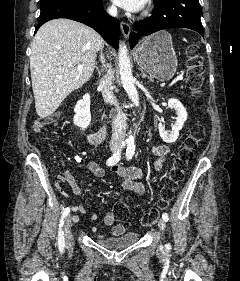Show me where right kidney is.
I'll return each mask as SVG.
<instances>
[{
	"label": "right kidney",
	"instance_id": "right-kidney-1",
	"mask_svg": "<svg viewBox=\"0 0 240 281\" xmlns=\"http://www.w3.org/2000/svg\"><path fill=\"white\" fill-rule=\"evenodd\" d=\"M74 112V124L80 127L82 130H85L91 122L89 94H85L83 98L77 102L74 108Z\"/></svg>",
	"mask_w": 240,
	"mask_h": 281
}]
</instances>
